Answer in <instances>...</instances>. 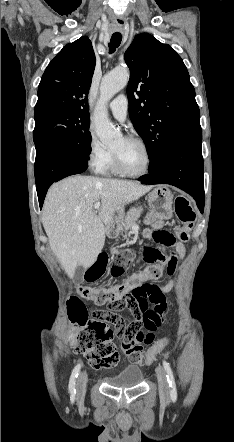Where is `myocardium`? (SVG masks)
<instances>
[{"instance_id":"1","label":"myocardium","mask_w":234,"mask_h":442,"mask_svg":"<svg viewBox=\"0 0 234 442\" xmlns=\"http://www.w3.org/2000/svg\"><path fill=\"white\" fill-rule=\"evenodd\" d=\"M124 140H126L128 142L137 143L143 148V150L145 152V156H146L145 167L140 172H129L123 167L120 157L117 154V152L112 151L113 163H114L115 170L117 171V173H119L123 176H126V177H130V178H138V177H142V176L147 175L150 171V167H151V163H152V154H151V150H150L148 144L143 139L136 137V136H127V137H124Z\"/></svg>"}]
</instances>
